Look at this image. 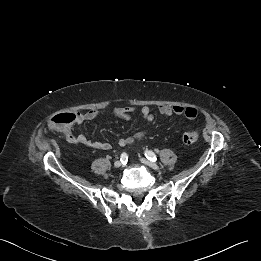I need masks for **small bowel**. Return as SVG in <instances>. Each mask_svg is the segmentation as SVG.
Instances as JSON below:
<instances>
[{
    "instance_id": "1",
    "label": "small bowel",
    "mask_w": 261,
    "mask_h": 261,
    "mask_svg": "<svg viewBox=\"0 0 261 261\" xmlns=\"http://www.w3.org/2000/svg\"><path fill=\"white\" fill-rule=\"evenodd\" d=\"M138 110L142 119L145 121L151 122L154 119L153 114L148 106H142L139 109L133 106H124L117 107L112 110L111 115L123 119L126 121H131L132 114ZM159 113L162 116H185L187 119L193 120L197 117L198 112L194 107H183V106H167L162 105L159 107ZM76 120L74 122L75 125H81L85 122L92 121L97 118L99 112L91 110L85 113L76 112L74 113ZM63 136L65 140L69 143L81 144L87 147H91L97 150H109L111 145L108 142L99 141V140H91L84 134L75 135L72 130V126H68L62 129ZM148 131L143 130L136 132L132 136L119 138L117 139V145L120 147H125L128 145H132L137 141H140L147 135Z\"/></svg>"
}]
</instances>
